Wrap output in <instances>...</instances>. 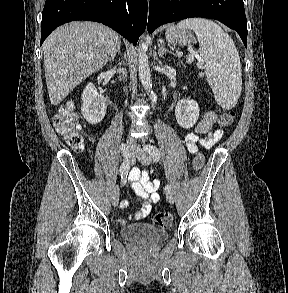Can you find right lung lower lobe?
<instances>
[{
	"instance_id": "obj_1",
	"label": "right lung lower lobe",
	"mask_w": 288,
	"mask_h": 293,
	"mask_svg": "<svg viewBox=\"0 0 288 293\" xmlns=\"http://www.w3.org/2000/svg\"><path fill=\"white\" fill-rule=\"evenodd\" d=\"M73 20L103 23L136 45L146 28L147 0H46L40 45L55 28Z\"/></svg>"
}]
</instances>
